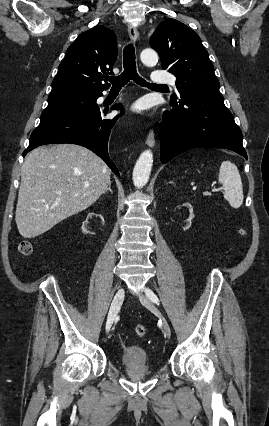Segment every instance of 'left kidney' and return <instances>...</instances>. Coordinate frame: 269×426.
Segmentation results:
<instances>
[{
    "mask_svg": "<svg viewBox=\"0 0 269 426\" xmlns=\"http://www.w3.org/2000/svg\"><path fill=\"white\" fill-rule=\"evenodd\" d=\"M182 206L189 210V217L186 220L187 224L183 227L184 229H188L191 226V220L194 218L193 207L189 202L183 203Z\"/></svg>",
    "mask_w": 269,
    "mask_h": 426,
    "instance_id": "left-kidney-1",
    "label": "left kidney"
}]
</instances>
